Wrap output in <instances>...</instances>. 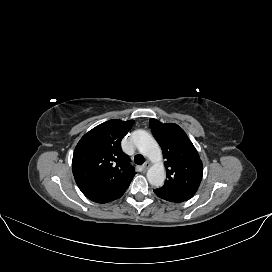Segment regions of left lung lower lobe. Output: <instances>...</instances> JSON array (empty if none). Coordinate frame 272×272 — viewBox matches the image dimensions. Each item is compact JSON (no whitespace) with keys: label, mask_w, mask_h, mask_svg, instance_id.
Here are the masks:
<instances>
[{"label":"left lung lower lobe","mask_w":272,"mask_h":272,"mask_svg":"<svg viewBox=\"0 0 272 272\" xmlns=\"http://www.w3.org/2000/svg\"><path fill=\"white\" fill-rule=\"evenodd\" d=\"M154 192L158 197H160V198H162L164 200H167V201H171V202L179 203V202H183V201H186V200L190 199L188 197H184V196H181V195H175V194H170V193H167V192H163V191H161L159 189H155Z\"/></svg>","instance_id":"obj_1"}]
</instances>
